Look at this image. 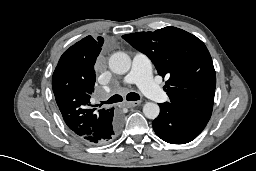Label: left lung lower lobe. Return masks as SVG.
<instances>
[{
    "mask_svg": "<svg viewBox=\"0 0 256 171\" xmlns=\"http://www.w3.org/2000/svg\"><path fill=\"white\" fill-rule=\"evenodd\" d=\"M160 114L153 121L155 133L171 144H185L197 137L208 121L170 103H161Z\"/></svg>",
    "mask_w": 256,
    "mask_h": 171,
    "instance_id": "0a47b994",
    "label": "left lung lower lobe"
}]
</instances>
